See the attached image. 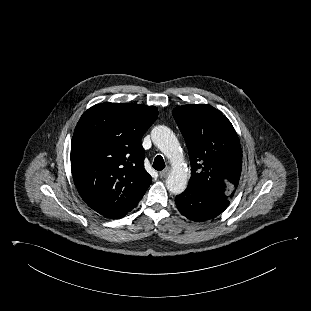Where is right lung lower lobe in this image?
Masks as SVG:
<instances>
[{
  "label": "right lung lower lobe",
  "mask_w": 311,
  "mask_h": 311,
  "mask_svg": "<svg viewBox=\"0 0 311 311\" xmlns=\"http://www.w3.org/2000/svg\"><path fill=\"white\" fill-rule=\"evenodd\" d=\"M127 213L125 214H121V215H118V216H111V217H108V218H112V219H119L121 217H124Z\"/></svg>",
  "instance_id": "1"
}]
</instances>
